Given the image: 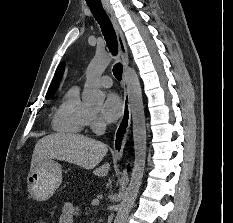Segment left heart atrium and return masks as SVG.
Instances as JSON below:
<instances>
[{"label": "left heart atrium", "mask_w": 233, "mask_h": 223, "mask_svg": "<svg viewBox=\"0 0 233 223\" xmlns=\"http://www.w3.org/2000/svg\"><path fill=\"white\" fill-rule=\"evenodd\" d=\"M101 112L107 122H116L123 112V102L120 97L114 93L108 95Z\"/></svg>", "instance_id": "obj_1"}]
</instances>
